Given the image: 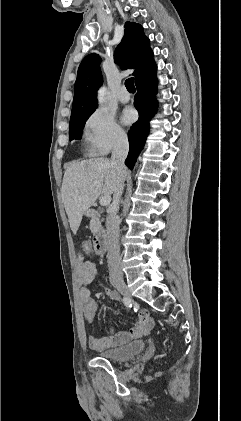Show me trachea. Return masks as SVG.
Returning <instances> with one entry per match:
<instances>
[{"mask_svg":"<svg viewBox=\"0 0 241 421\" xmlns=\"http://www.w3.org/2000/svg\"><path fill=\"white\" fill-rule=\"evenodd\" d=\"M125 86H126V88H127V90H128L129 92H135V91H136V88H135V86H134V80H133V78H128V79L125 81Z\"/></svg>","mask_w":241,"mask_h":421,"instance_id":"1","label":"trachea"}]
</instances>
